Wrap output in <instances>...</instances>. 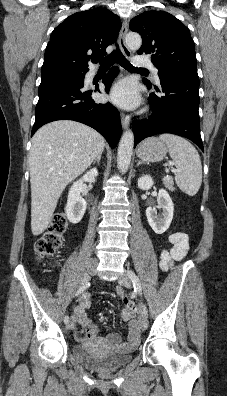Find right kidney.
I'll return each mask as SVG.
<instances>
[{"mask_svg": "<svg viewBox=\"0 0 227 396\" xmlns=\"http://www.w3.org/2000/svg\"><path fill=\"white\" fill-rule=\"evenodd\" d=\"M98 170L93 168L83 175L81 179L74 182L68 193L66 215L70 222L77 224L81 221L86 211L87 203L80 195L83 182L95 183Z\"/></svg>", "mask_w": 227, "mask_h": 396, "instance_id": "obj_1", "label": "right kidney"}]
</instances>
